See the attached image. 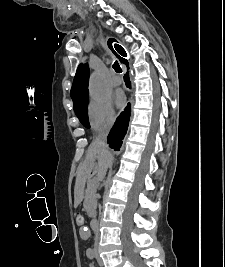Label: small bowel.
<instances>
[{
	"mask_svg": "<svg viewBox=\"0 0 225 267\" xmlns=\"http://www.w3.org/2000/svg\"><path fill=\"white\" fill-rule=\"evenodd\" d=\"M80 236L85 238L87 236V232L84 230L80 233Z\"/></svg>",
	"mask_w": 225,
	"mask_h": 267,
	"instance_id": "c3829d8e",
	"label": "small bowel"
}]
</instances>
